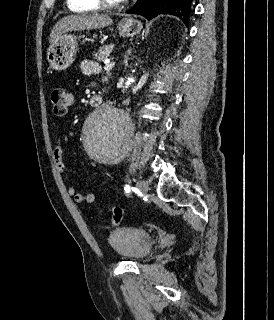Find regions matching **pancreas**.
<instances>
[{
    "mask_svg": "<svg viewBox=\"0 0 274 320\" xmlns=\"http://www.w3.org/2000/svg\"><path fill=\"white\" fill-rule=\"evenodd\" d=\"M114 44L112 46H102V48H99L93 56H95V60H98V62H104V60H107L109 58L111 52H113Z\"/></svg>",
    "mask_w": 274,
    "mask_h": 320,
    "instance_id": "obj_1",
    "label": "pancreas"
}]
</instances>
